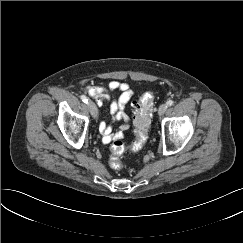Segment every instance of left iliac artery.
<instances>
[{
  "label": "left iliac artery",
  "instance_id": "obj_1",
  "mask_svg": "<svg viewBox=\"0 0 243 243\" xmlns=\"http://www.w3.org/2000/svg\"><path fill=\"white\" fill-rule=\"evenodd\" d=\"M167 106H172L173 104H174V101L173 100H169V101H167Z\"/></svg>",
  "mask_w": 243,
  "mask_h": 243
}]
</instances>
